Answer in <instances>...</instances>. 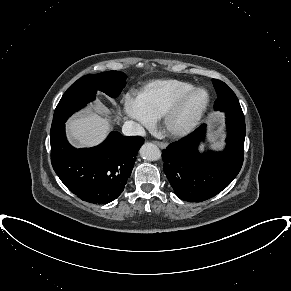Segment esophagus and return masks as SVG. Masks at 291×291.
<instances>
[{
    "label": "esophagus",
    "mask_w": 291,
    "mask_h": 291,
    "mask_svg": "<svg viewBox=\"0 0 291 291\" xmlns=\"http://www.w3.org/2000/svg\"><path fill=\"white\" fill-rule=\"evenodd\" d=\"M153 143L161 148H166L167 147V144L163 143V142H160V141H153Z\"/></svg>",
    "instance_id": "esophagus-1"
}]
</instances>
